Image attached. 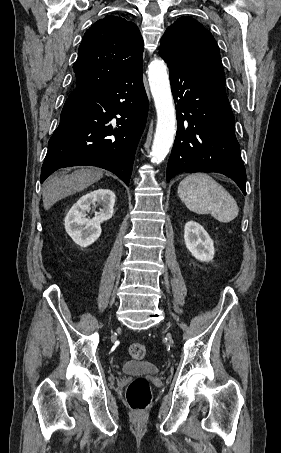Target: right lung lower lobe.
I'll use <instances>...</instances> for the list:
<instances>
[{"mask_svg":"<svg viewBox=\"0 0 281 453\" xmlns=\"http://www.w3.org/2000/svg\"><path fill=\"white\" fill-rule=\"evenodd\" d=\"M147 112L142 61L114 82L76 85L49 140L41 183L59 168L91 165L128 185Z\"/></svg>","mask_w":281,"mask_h":453,"instance_id":"obj_1","label":"right lung lower lobe"}]
</instances>
